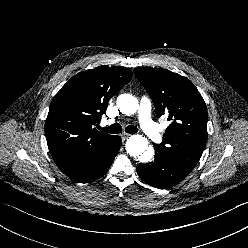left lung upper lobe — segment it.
Here are the masks:
<instances>
[{"label": "left lung upper lobe", "instance_id": "5c2ea615", "mask_svg": "<svg viewBox=\"0 0 248 248\" xmlns=\"http://www.w3.org/2000/svg\"><path fill=\"white\" fill-rule=\"evenodd\" d=\"M137 79L150 95L157 117L171 121L155 152L191 172L198 163L207 139L208 113L197 88L187 78L158 68L135 69Z\"/></svg>", "mask_w": 248, "mask_h": 248}]
</instances>
